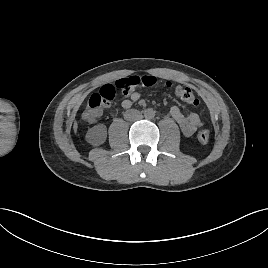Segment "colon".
Masks as SVG:
<instances>
[{
	"mask_svg": "<svg viewBox=\"0 0 268 268\" xmlns=\"http://www.w3.org/2000/svg\"><path fill=\"white\" fill-rule=\"evenodd\" d=\"M157 83L156 77L152 75L143 76H130L119 79L115 84H106L100 88V90L90 96L86 104L82 108L81 117L86 122H95L103 114V111L114 100L117 90L122 94L128 95L138 88H150ZM166 86L173 87L171 82H166ZM174 92L184 102L197 106L199 100L195 97L192 90L184 86H174ZM197 139L200 143L205 144L210 139V132L208 130H202L198 133Z\"/></svg>",
	"mask_w": 268,
	"mask_h": 268,
	"instance_id": "obj_1",
	"label": "colon"
}]
</instances>
